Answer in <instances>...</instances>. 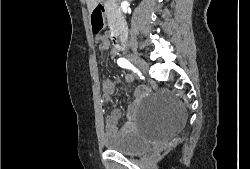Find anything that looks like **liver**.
Here are the masks:
<instances>
[{
    "mask_svg": "<svg viewBox=\"0 0 250 169\" xmlns=\"http://www.w3.org/2000/svg\"><path fill=\"white\" fill-rule=\"evenodd\" d=\"M98 2H101V0H86L89 12H92L93 8L97 6Z\"/></svg>",
    "mask_w": 250,
    "mask_h": 169,
    "instance_id": "6515ba94",
    "label": "liver"
}]
</instances>
